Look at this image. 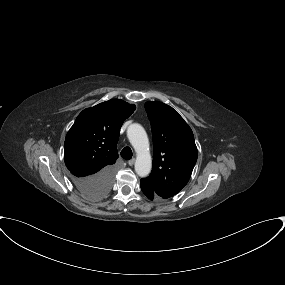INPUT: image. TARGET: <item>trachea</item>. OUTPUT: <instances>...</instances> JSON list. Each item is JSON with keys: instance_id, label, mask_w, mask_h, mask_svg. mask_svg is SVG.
<instances>
[{"instance_id": "3493384b", "label": "trachea", "mask_w": 285, "mask_h": 285, "mask_svg": "<svg viewBox=\"0 0 285 285\" xmlns=\"http://www.w3.org/2000/svg\"><path fill=\"white\" fill-rule=\"evenodd\" d=\"M120 155L122 156V158H124L126 160H130L132 158L133 153H132V150L130 147H125L121 151Z\"/></svg>"}]
</instances>
